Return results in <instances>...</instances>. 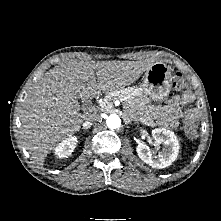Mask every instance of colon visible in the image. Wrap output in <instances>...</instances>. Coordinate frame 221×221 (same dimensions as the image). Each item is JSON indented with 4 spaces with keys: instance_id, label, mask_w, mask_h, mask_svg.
<instances>
[{
    "instance_id": "1",
    "label": "colon",
    "mask_w": 221,
    "mask_h": 221,
    "mask_svg": "<svg viewBox=\"0 0 221 221\" xmlns=\"http://www.w3.org/2000/svg\"><path fill=\"white\" fill-rule=\"evenodd\" d=\"M173 86L175 89L180 90L184 93L188 92V85L184 80L181 73H176L174 76ZM183 129L186 135L189 138H196L197 137V126L196 120L194 117H184L183 118Z\"/></svg>"
}]
</instances>
